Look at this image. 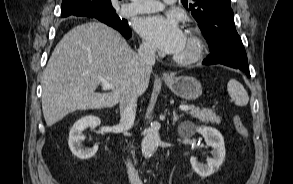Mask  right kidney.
Listing matches in <instances>:
<instances>
[{
    "mask_svg": "<svg viewBox=\"0 0 293 184\" xmlns=\"http://www.w3.org/2000/svg\"><path fill=\"white\" fill-rule=\"evenodd\" d=\"M101 121L98 117L88 115L82 117L75 122L69 133L68 145L74 156L81 160H87L93 157L98 151V145H94L93 148H84L82 142L85 140L83 131L90 127L95 128L100 125Z\"/></svg>",
    "mask_w": 293,
    "mask_h": 184,
    "instance_id": "right-kidney-1",
    "label": "right kidney"
}]
</instances>
